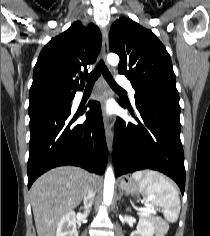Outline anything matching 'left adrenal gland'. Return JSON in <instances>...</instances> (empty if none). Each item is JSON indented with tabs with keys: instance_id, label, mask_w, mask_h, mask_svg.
<instances>
[{
	"instance_id": "a2214340",
	"label": "left adrenal gland",
	"mask_w": 210,
	"mask_h": 236,
	"mask_svg": "<svg viewBox=\"0 0 210 236\" xmlns=\"http://www.w3.org/2000/svg\"><path fill=\"white\" fill-rule=\"evenodd\" d=\"M122 196H123V191H120L119 198H121Z\"/></svg>"
}]
</instances>
